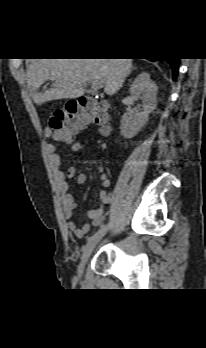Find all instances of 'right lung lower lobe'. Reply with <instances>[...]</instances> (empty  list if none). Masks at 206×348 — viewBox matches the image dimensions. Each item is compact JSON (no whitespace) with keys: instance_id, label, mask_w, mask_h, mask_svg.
I'll return each mask as SVG.
<instances>
[{"instance_id":"1","label":"right lung lower lobe","mask_w":206,"mask_h":348,"mask_svg":"<svg viewBox=\"0 0 206 348\" xmlns=\"http://www.w3.org/2000/svg\"><path fill=\"white\" fill-rule=\"evenodd\" d=\"M166 60L172 67L173 80H175L178 74V69H179V58H169Z\"/></svg>"}]
</instances>
